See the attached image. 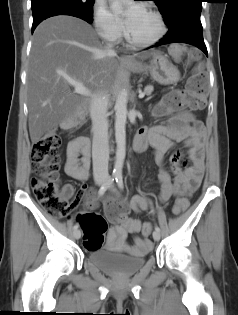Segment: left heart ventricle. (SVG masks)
<instances>
[{
  "label": "left heart ventricle",
  "instance_id": "obj_1",
  "mask_svg": "<svg viewBox=\"0 0 238 315\" xmlns=\"http://www.w3.org/2000/svg\"><path fill=\"white\" fill-rule=\"evenodd\" d=\"M127 29L132 38L148 40L157 34L158 24L153 15L141 9Z\"/></svg>",
  "mask_w": 238,
  "mask_h": 315
}]
</instances>
